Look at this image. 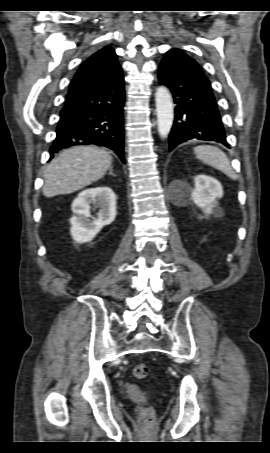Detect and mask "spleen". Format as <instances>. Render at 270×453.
I'll list each match as a JSON object with an SVG mask.
<instances>
[{
  "mask_svg": "<svg viewBox=\"0 0 270 453\" xmlns=\"http://www.w3.org/2000/svg\"><path fill=\"white\" fill-rule=\"evenodd\" d=\"M193 151L198 160L222 171L233 180L237 179V175L232 169L229 158L218 147L212 145H199L196 146Z\"/></svg>",
  "mask_w": 270,
  "mask_h": 453,
  "instance_id": "3e777b00",
  "label": "spleen"
}]
</instances>
